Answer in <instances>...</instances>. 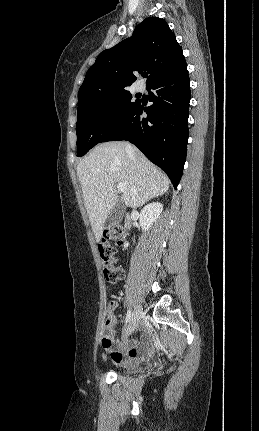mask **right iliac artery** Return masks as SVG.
Instances as JSON below:
<instances>
[{"instance_id":"obj_1","label":"right iliac artery","mask_w":259,"mask_h":431,"mask_svg":"<svg viewBox=\"0 0 259 431\" xmlns=\"http://www.w3.org/2000/svg\"><path fill=\"white\" fill-rule=\"evenodd\" d=\"M131 317H132V312H131V310H128L127 315H126L125 322H126V323H127V322H129V321H130V319H131Z\"/></svg>"}]
</instances>
